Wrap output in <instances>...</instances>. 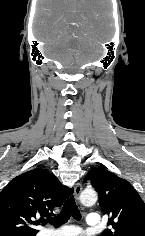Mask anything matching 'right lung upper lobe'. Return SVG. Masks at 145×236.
Returning a JSON list of instances; mask_svg holds the SVG:
<instances>
[{"instance_id": "right-lung-upper-lobe-1", "label": "right lung upper lobe", "mask_w": 145, "mask_h": 236, "mask_svg": "<svg viewBox=\"0 0 145 236\" xmlns=\"http://www.w3.org/2000/svg\"><path fill=\"white\" fill-rule=\"evenodd\" d=\"M71 193L44 169L15 177L0 193V236H35L34 226L52 215Z\"/></svg>"}]
</instances>
